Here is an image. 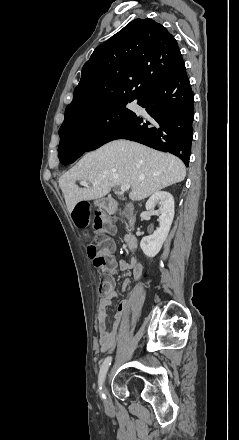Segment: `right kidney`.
<instances>
[{"mask_svg": "<svg viewBox=\"0 0 239 440\" xmlns=\"http://www.w3.org/2000/svg\"><path fill=\"white\" fill-rule=\"evenodd\" d=\"M154 206L161 208L159 226L152 236H145L140 242V248L148 258H154L160 252L171 228L174 218V198L169 192H156L146 202V210H154Z\"/></svg>", "mask_w": 239, "mask_h": 440, "instance_id": "ca27d5eb", "label": "right kidney"}]
</instances>
